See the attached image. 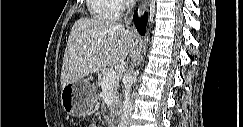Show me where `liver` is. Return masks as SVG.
I'll return each mask as SVG.
<instances>
[{"label":"liver","mask_w":243,"mask_h":127,"mask_svg":"<svg viewBox=\"0 0 243 127\" xmlns=\"http://www.w3.org/2000/svg\"><path fill=\"white\" fill-rule=\"evenodd\" d=\"M137 41V34L126 30L121 24L84 17L78 19L68 37L61 70V86L106 67L119 66Z\"/></svg>","instance_id":"1"}]
</instances>
